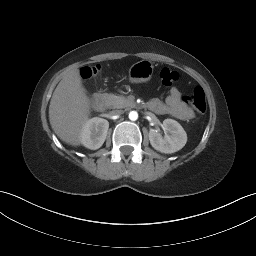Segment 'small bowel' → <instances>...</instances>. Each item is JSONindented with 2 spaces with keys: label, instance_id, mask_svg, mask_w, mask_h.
<instances>
[{
  "label": "small bowel",
  "instance_id": "obj_1",
  "mask_svg": "<svg viewBox=\"0 0 256 256\" xmlns=\"http://www.w3.org/2000/svg\"><path fill=\"white\" fill-rule=\"evenodd\" d=\"M148 108L160 115H170L179 120L187 121L194 117V113L189 108L181 97L180 91L173 87L165 102L159 99H153L148 102Z\"/></svg>",
  "mask_w": 256,
  "mask_h": 256
}]
</instances>
